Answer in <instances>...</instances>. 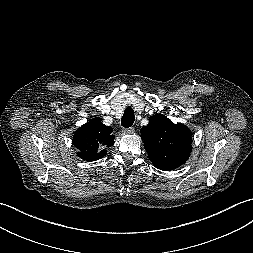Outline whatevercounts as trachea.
<instances>
[{
    "instance_id": "1",
    "label": "trachea",
    "mask_w": 253,
    "mask_h": 253,
    "mask_svg": "<svg viewBox=\"0 0 253 253\" xmlns=\"http://www.w3.org/2000/svg\"><path fill=\"white\" fill-rule=\"evenodd\" d=\"M134 120L135 115L133 109L131 107H127L121 119V125L125 128L131 127L134 123Z\"/></svg>"
}]
</instances>
